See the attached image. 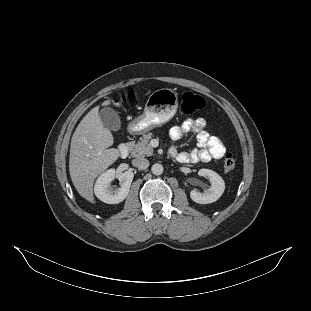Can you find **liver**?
I'll use <instances>...</instances> for the list:
<instances>
[{
  "instance_id": "6515ba94",
  "label": "liver",
  "mask_w": 311,
  "mask_h": 311,
  "mask_svg": "<svg viewBox=\"0 0 311 311\" xmlns=\"http://www.w3.org/2000/svg\"><path fill=\"white\" fill-rule=\"evenodd\" d=\"M105 100L102 106H108ZM112 133L104 127L99 117V106L91 109L77 126L70 144L69 172L77 192L95 203L93 184L95 178L113 164L120 156Z\"/></svg>"
}]
</instances>
